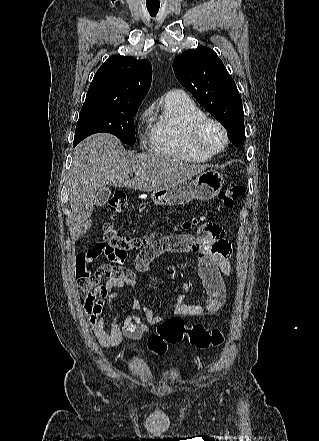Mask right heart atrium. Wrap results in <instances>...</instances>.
Wrapping results in <instances>:
<instances>
[{"label": "right heart atrium", "instance_id": "1", "mask_svg": "<svg viewBox=\"0 0 319 441\" xmlns=\"http://www.w3.org/2000/svg\"><path fill=\"white\" fill-rule=\"evenodd\" d=\"M152 110H153L152 106L147 107L142 111V113L139 115L137 120L138 133L143 142H146V140L148 139L150 131L147 130L146 132L143 133L142 127L146 123L148 118L151 116Z\"/></svg>", "mask_w": 319, "mask_h": 441}]
</instances>
